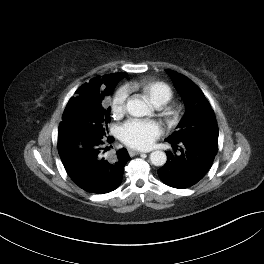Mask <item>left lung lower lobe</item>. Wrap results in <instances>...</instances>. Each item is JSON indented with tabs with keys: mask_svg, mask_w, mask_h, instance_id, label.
I'll return each mask as SVG.
<instances>
[{
	"mask_svg": "<svg viewBox=\"0 0 264 264\" xmlns=\"http://www.w3.org/2000/svg\"><path fill=\"white\" fill-rule=\"evenodd\" d=\"M169 143L174 152H166L167 162L158 170V175L163 183L178 189L198 183L210 169L218 151V142L203 138Z\"/></svg>",
	"mask_w": 264,
	"mask_h": 264,
	"instance_id": "1",
	"label": "left lung lower lobe"
}]
</instances>
